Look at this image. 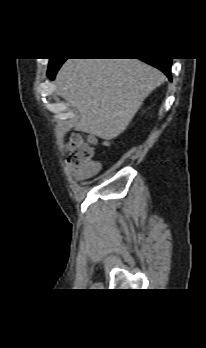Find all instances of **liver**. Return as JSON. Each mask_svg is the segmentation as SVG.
<instances>
[{"instance_id":"liver-1","label":"liver","mask_w":206,"mask_h":348,"mask_svg":"<svg viewBox=\"0 0 206 348\" xmlns=\"http://www.w3.org/2000/svg\"><path fill=\"white\" fill-rule=\"evenodd\" d=\"M164 81L139 59H68L56 76L57 92L79 114L76 130L105 140L121 134Z\"/></svg>"}]
</instances>
